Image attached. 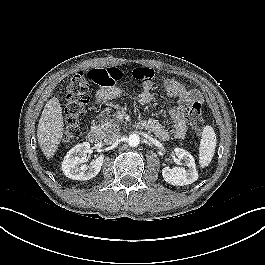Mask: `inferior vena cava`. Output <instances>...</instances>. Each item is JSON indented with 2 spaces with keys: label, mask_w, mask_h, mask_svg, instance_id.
I'll use <instances>...</instances> for the list:
<instances>
[{
  "label": "inferior vena cava",
  "mask_w": 265,
  "mask_h": 265,
  "mask_svg": "<svg viewBox=\"0 0 265 265\" xmlns=\"http://www.w3.org/2000/svg\"><path fill=\"white\" fill-rule=\"evenodd\" d=\"M121 138V135L120 134H117V133H113V134H110L108 135L104 141L108 144H114L116 142L119 141V139Z\"/></svg>",
  "instance_id": "inferior-vena-cava-1"
}]
</instances>
